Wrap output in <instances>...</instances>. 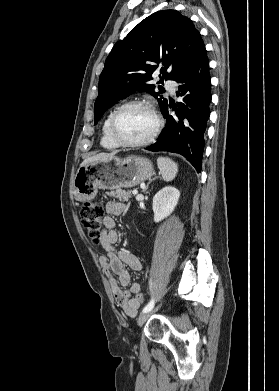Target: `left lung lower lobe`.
<instances>
[{"label": "left lung lower lobe", "mask_w": 279, "mask_h": 391, "mask_svg": "<svg viewBox=\"0 0 279 391\" xmlns=\"http://www.w3.org/2000/svg\"><path fill=\"white\" fill-rule=\"evenodd\" d=\"M176 82L180 84L177 96L182 97V101L177 105L169 103L162 111L167 124L157 142L146 149L179 153L199 173L205 144L204 134L210 115L209 104L212 99L209 61L205 46ZM169 108L175 111V115L169 113Z\"/></svg>", "instance_id": "left-lung-lower-lobe-1"}]
</instances>
